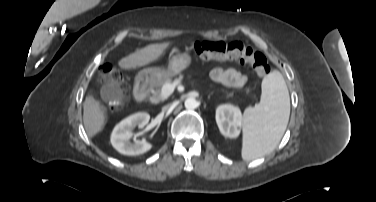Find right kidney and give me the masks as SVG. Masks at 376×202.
I'll return each mask as SVG.
<instances>
[{
  "instance_id": "ca27d5eb",
  "label": "right kidney",
  "mask_w": 376,
  "mask_h": 202,
  "mask_svg": "<svg viewBox=\"0 0 376 202\" xmlns=\"http://www.w3.org/2000/svg\"><path fill=\"white\" fill-rule=\"evenodd\" d=\"M150 120V115L145 112L134 113L118 123L111 134L112 146L121 154L134 156L146 153L152 144L145 140L130 142L133 136L132 129L136 126L143 128Z\"/></svg>"
}]
</instances>
